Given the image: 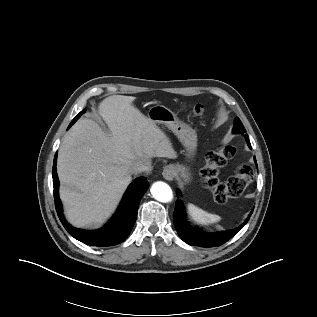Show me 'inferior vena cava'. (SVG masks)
I'll return each mask as SVG.
<instances>
[{
  "label": "inferior vena cava",
  "mask_w": 317,
  "mask_h": 317,
  "mask_svg": "<svg viewBox=\"0 0 317 317\" xmlns=\"http://www.w3.org/2000/svg\"><path fill=\"white\" fill-rule=\"evenodd\" d=\"M151 170L152 167L149 162H137L132 166L130 172L132 174H137L142 172H150Z\"/></svg>",
  "instance_id": "obj_1"
}]
</instances>
